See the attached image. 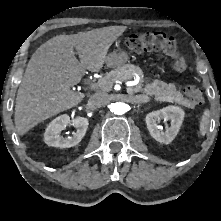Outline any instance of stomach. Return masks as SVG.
Wrapping results in <instances>:
<instances>
[{
  "mask_svg": "<svg viewBox=\"0 0 221 221\" xmlns=\"http://www.w3.org/2000/svg\"><path fill=\"white\" fill-rule=\"evenodd\" d=\"M128 61V54L125 50L119 49L118 51H114L110 53L106 58V64L111 68H118L124 66Z\"/></svg>",
  "mask_w": 221,
  "mask_h": 221,
  "instance_id": "0dacf381",
  "label": "stomach"
}]
</instances>
